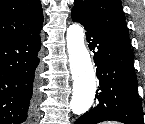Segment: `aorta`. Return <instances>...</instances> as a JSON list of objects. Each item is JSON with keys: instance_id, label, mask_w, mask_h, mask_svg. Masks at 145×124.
Segmentation results:
<instances>
[{"instance_id": "obj_1", "label": "aorta", "mask_w": 145, "mask_h": 124, "mask_svg": "<svg viewBox=\"0 0 145 124\" xmlns=\"http://www.w3.org/2000/svg\"><path fill=\"white\" fill-rule=\"evenodd\" d=\"M84 37L83 28L79 24L74 23L68 27L66 40L73 79L70 107L76 115H82L90 109L96 93L95 71Z\"/></svg>"}]
</instances>
